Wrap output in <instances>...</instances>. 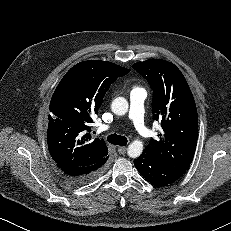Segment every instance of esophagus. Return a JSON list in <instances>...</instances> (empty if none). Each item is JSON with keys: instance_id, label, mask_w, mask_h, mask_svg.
Wrapping results in <instances>:
<instances>
[{"instance_id": "obj_1", "label": "esophagus", "mask_w": 231, "mask_h": 231, "mask_svg": "<svg viewBox=\"0 0 231 231\" xmlns=\"http://www.w3.org/2000/svg\"><path fill=\"white\" fill-rule=\"evenodd\" d=\"M117 151L119 154L124 155L126 153V147L120 146L117 148Z\"/></svg>"}]
</instances>
